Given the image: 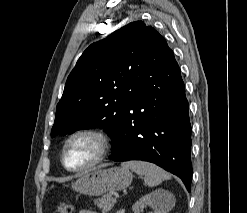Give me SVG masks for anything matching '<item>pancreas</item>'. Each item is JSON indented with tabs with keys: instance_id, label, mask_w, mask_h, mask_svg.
I'll use <instances>...</instances> for the list:
<instances>
[{
	"instance_id": "1",
	"label": "pancreas",
	"mask_w": 247,
	"mask_h": 213,
	"mask_svg": "<svg viewBox=\"0 0 247 213\" xmlns=\"http://www.w3.org/2000/svg\"><path fill=\"white\" fill-rule=\"evenodd\" d=\"M94 204L102 211V213H107L110 211L114 205L112 198L109 194L103 196L100 199L94 200Z\"/></svg>"
}]
</instances>
